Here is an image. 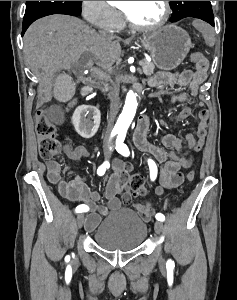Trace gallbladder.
Listing matches in <instances>:
<instances>
[{"label":"gallbladder","instance_id":"1","mask_svg":"<svg viewBox=\"0 0 237 300\" xmlns=\"http://www.w3.org/2000/svg\"><path fill=\"white\" fill-rule=\"evenodd\" d=\"M69 72H58V82L55 84V100L71 101L72 94H75V82H72Z\"/></svg>","mask_w":237,"mask_h":300}]
</instances>
